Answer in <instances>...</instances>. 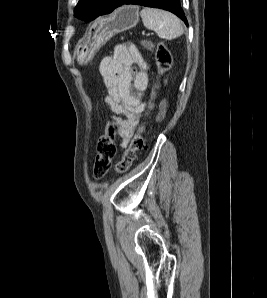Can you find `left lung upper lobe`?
Segmentation results:
<instances>
[{
  "instance_id": "obj_1",
  "label": "left lung upper lobe",
  "mask_w": 267,
  "mask_h": 298,
  "mask_svg": "<svg viewBox=\"0 0 267 298\" xmlns=\"http://www.w3.org/2000/svg\"><path fill=\"white\" fill-rule=\"evenodd\" d=\"M116 0H79L74 14L84 21H91L99 15L106 13Z\"/></svg>"
}]
</instances>
